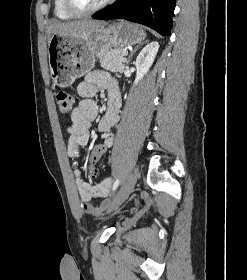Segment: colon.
Here are the masks:
<instances>
[{"mask_svg":"<svg viewBox=\"0 0 247 280\" xmlns=\"http://www.w3.org/2000/svg\"><path fill=\"white\" fill-rule=\"evenodd\" d=\"M56 99L60 113L63 115L70 114L74 102L73 96L68 92L60 91L57 94ZM106 149L107 146L105 143H94L89 157L90 163L95 164L98 162L101 156L106 154ZM91 174H93L92 170Z\"/></svg>","mask_w":247,"mask_h":280,"instance_id":"colon-1","label":"colon"}]
</instances>
